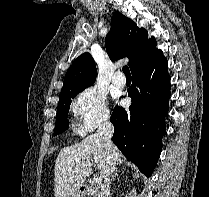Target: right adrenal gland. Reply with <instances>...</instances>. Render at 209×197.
<instances>
[{"label": "right adrenal gland", "mask_w": 209, "mask_h": 197, "mask_svg": "<svg viewBox=\"0 0 209 197\" xmlns=\"http://www.w3.org/2000/svg\"><path fill=\"white\" fill-rule=\"evenodd\" d=\"M118 176V171L117 169L114 171L112 178H111V182L114 181L116 179V177Z\"/></svg>", "instance_id": "obj_1"}]
</instances>
